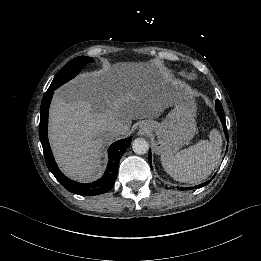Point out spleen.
I'll use <instances>...</instances> for the list:
<instances>
[{"label": "spleen", "instance_id": "spleen-1", "mask_svg": "<svg viewBox=\"0 0 261 261\" xmlns=\"http://www.w3.org/2000/svg\"><path fill=\"white\" fill-rule=\"evenodd\" d=\"M221 146L222 136L217 129H213L209 141H200L174 156H161V163L165 172L174 180L198 184L205 180L220 162Z\"/></svg>", "mask_w": 261, "mask_h": 261}]
</instances>
